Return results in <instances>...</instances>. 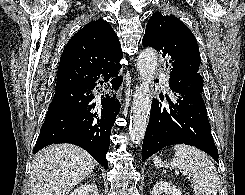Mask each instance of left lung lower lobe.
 <instances>
[{"mask_svg":"<svg viewBox=\"0 0 245 195\" xmlns=\"http://www.w3.org/2000/svg\"><path fill=\"white\" fill-rule=\"evenodd\" d=\"M169 86L179 98L176 103L169 104L152 100L142 146V161L165 146L184 143L201 149L218 162V150L211 135L201 92L191 87Z\"/></svg>","mask_w":245,"mask_h":195,"instance_id":"1","label":"left lung lower lobe"}]
</instances>
